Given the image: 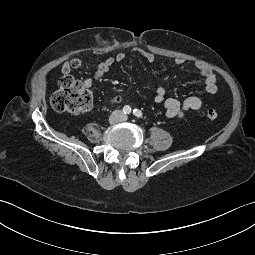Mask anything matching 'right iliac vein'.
<instances>
[{
	"instance_id": "1",
	"label": "right iliac vein",
	"mask_w": 255,
	"mask_h": 255,
	"mask_svg": "<svg viewBox=\"0 0 255 255\" xmlns=\"http://www.w3.org/2000/svg\"><path fill=\"white\" fill-rule=\"evenodd\" d=\"M115 121H116V115L110 116L109 122L112 124V123H115Z\"/></svg>"
}]
</instances>
